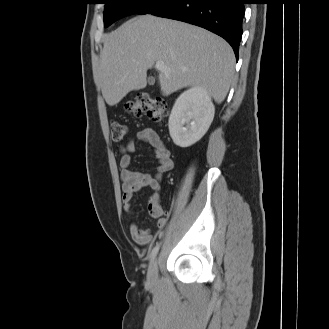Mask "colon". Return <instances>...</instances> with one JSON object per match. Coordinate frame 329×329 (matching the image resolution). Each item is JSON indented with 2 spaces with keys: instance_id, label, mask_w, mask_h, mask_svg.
Listing matches in <instances>:
<instances>
[{
  "instance_id": "1",
  "label": "colon",
  "mask_w": 329,
  "mask_h": 329,
  "mask_svg": "<svg viewBox=\"0 0 329 329\" xmlns=\"http://www.w3.org/2000/svg\"><path fill=\"white\" fill-rule=\"evenodd\" d=\"M126 112L135 117L147 116L155 122H161L168 116L167 106L158 98H152L147 94H139L134 100L125 104ZM111 137L114 142H123L126 139V126L116 120L110 121Z\"/></svg>"
}]
</instances>
